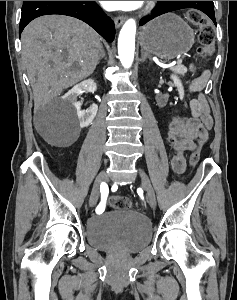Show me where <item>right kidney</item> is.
<instances>
[{"mask_svg": "<svg viewBox=\"0 0 237 300\" xmlns=\"http://www.w3.org/2000/svg\"><path fill=\"white\" fill-rule=\"evenodd\" d=\"M96 89L97 85L94 83L93 79H87V81H82L79 85H75L71 91H68V93L64 95L65 99L70 101L73 107H75L81 129H83V127H88V125L92 123L93 119H95L98 111V105L93 103V105H90L88 109H81V103L78 101V97L81 93H83V91H92V93H94Z\"/></svg>", "mask_w": 237, "mask_h": 300, "instance_id": "right-kidney-1", "label": "right kidney"}]
</instances>
